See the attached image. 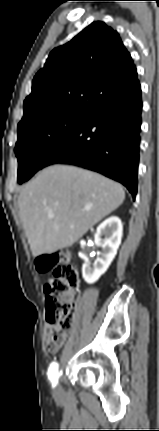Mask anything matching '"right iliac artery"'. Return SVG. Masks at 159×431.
<instances>
[{"instance_id":"1","label":"right iliac artery","mask_w":159,"mask_h":431,"mask_svg":"<svg viewBox=\"0 0 159 431\" xmlns=\"http://www.w3.org/2000/svg\"><path fill=\"white\" fill-rule=\"evenodd\" d=\"M59 376H60V374L58 372V363L57 362L51 363L49 370H48V377L51 380L53 387H55L57 385Z\"/></svg>"}]
</instances>
